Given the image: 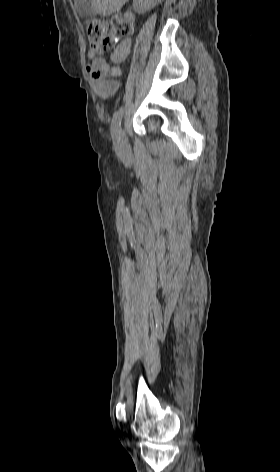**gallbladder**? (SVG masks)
<instances>
[{
    "label": "gallbladder",
    "instance_id": "1",
    "mask_svg": "<svg viewBox=\"0 0 280 472\" xmlns=\"http://www.w3.org/2000/svg\"><path fill=\"white\" fill-rule=\"evenodd\" d=\"M75 6L80 17L87 18L95 15L92 0H75Z\"/></svg>",
    "mask_w": 280,
    "mask_h": 472
}]
</instances>
